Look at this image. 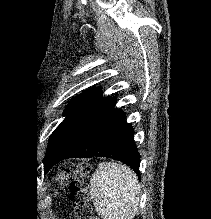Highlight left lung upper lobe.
<instances>
[{
  "label": "left lung upper lobe",
  "instance_id": "5c2ea615",
  "mask_svg": "<svg viewBox=\"0 0 211 219\" xmlns=\"http://www.w3.org/2000/svg\"><path fill=\"white\" fill-rule=\"evenodd\" d=\"M100 94V88H92L72 99L69 106L66 108V118L49 138L45 161L51 157L66 133L77 122V120L101 99Z\"/></svg>",
  "mask_w": 211,
  "mask_h": 219
}]
</instances>
